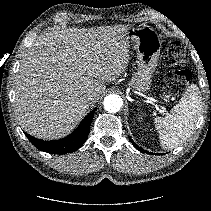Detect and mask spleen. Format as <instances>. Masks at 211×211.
I'll use <instances>...</instances> for the list:
<instances>
[{"mask_svg": "<svg viewBox=\"0 0 211 211\" xmlns=\"http://www.w3.org/2000/svg\"><path fill=\"white\" fill-rule=\"evenodd\" d=\"M202 109V97L196 84H192L168 117L154 118L163 149H173L193 133Z\"/></svg>", "mask_w": 211, "mask_h": 211, "instance_id": "1", "label": "spleen"}]
</instances>
